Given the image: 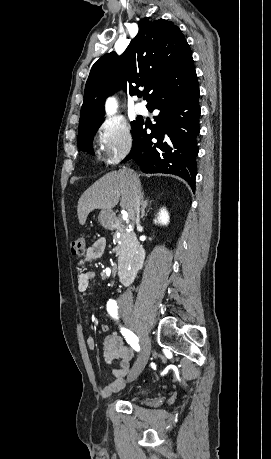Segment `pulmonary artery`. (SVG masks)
<instances>
[{"label":"pulmonary artery","instance_id":"pulmonary-artery-1","mask_svg":"<svg viewBox=\"0 0 271 459\" xmlns=\"http://www.w3.org/2000/svg\"><path fill=\"white\" fill-rule=\"evenodd\" d=\"M133 111L135 114H138V115H146L148 113L146 105L143 102H139V101L135 102L133 106Z\"/></svg>","mask_w":271,"mask_h":459}]
</instances>
